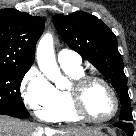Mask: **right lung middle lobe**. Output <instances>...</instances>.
Returning a JSON list of instances; mask_svg holds the SVG:
<instances>
[{"label": "right lung middle lobe", "mask_w": 136, "mask_h": 136, "mask_svg": "<svg viewBox=\"0 0 136 136\" xmlns=\"http://www.w3.org/2000/svg\"><path fill=\"white\" fill-rule=\"evenodd\" d=\"M28 70L0 67V114L29 116L20 95V84Z\"/></svg>", "instance_id": "right-lung-middle-lobe-1"}]
</instances>
